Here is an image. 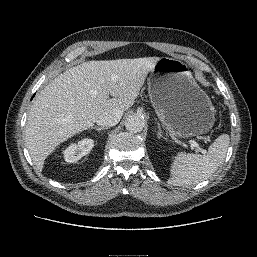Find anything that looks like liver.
<instances>
[{"mask_svg":"<svg viewBox=\"0 0 257 257\" xmlns=\"http://www.w3.org/2000/svg\"><path fill=\"white\" fill-rule=\"evenodd\" d=\"M159 59L88 61L50 82L35 98L25 131L37 169H43L45 159L59 144L92 127L103 112L129 109Z\"/></svg>","mask_w":257,"mask_h":257,"instance_id":"6515ba94","label":"liver"}]
</instances>
